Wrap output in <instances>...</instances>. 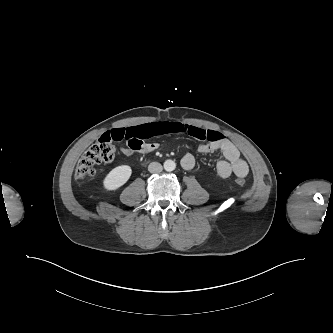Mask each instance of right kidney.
<instances>
[{"instance_id":"1","label":"right kidney","mask_w":333,"mask_h":333,"mask_svg":"<svg viewBox=\"0 0 333 333\" xmlns=\"http://www.w3.org/2000/svg\"><path fill=\"white\" fill-rule=\"evenodd\" d=\"M132 169L128 165L113 168L103 180V187L107 191H114L124 185L130 178Z\"/></svg>"}]
</instances>
